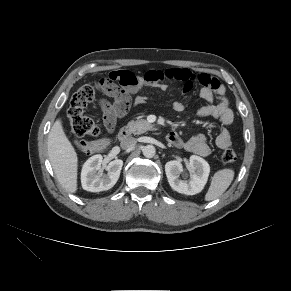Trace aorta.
Segmentation results:
<instances>
[{
	"label": "aorta",
	"mask_w": 291,
	"mask_h": 291,
	"mask_svg": "<svg viewBox=\"0 0 291 291\" xmlns=\"http://www.w3.org/2000/svg\"><path fill=\"white\" fill-rule=\"evenodd\" d=\"M142 152L146 158H152L156 153V149L153 145H146L143 147Z\"/></svg>",
	"instance_id": "obj_1"
}]
</instances>
